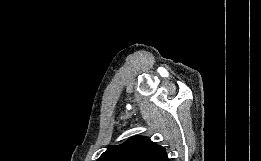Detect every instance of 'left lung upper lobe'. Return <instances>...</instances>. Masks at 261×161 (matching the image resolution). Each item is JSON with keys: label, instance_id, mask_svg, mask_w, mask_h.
<instances>
[{"label": "left lung upper lobe", "instance_id": "5c2ea615", "mask_svg": "<svg viewBox=\"0 0 261 161\" xmlns=\"http://www.w3.org/2000/svg\"><path fill=\"white\" fill-rule=\"evenodd\" d=\"M165 151L148 137L136 136L120 145H110L97 161H156Z\"/></svg>", "mask_w": 261, "mask_h": 161}]
</instances>
